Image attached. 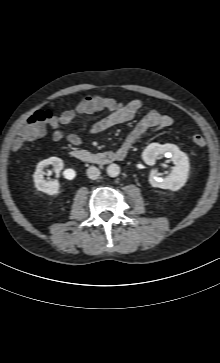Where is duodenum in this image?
<instances>
[{"label": "duodenum", "mask_w": 220, "mask_h": 363, "mask_svg": "<svg viewBox=\"0 0 220 363\" xmlns=\"http://www.w3.org/2000/svg\"><path fill=\"white\" fill-rule=\"evenodd\" d=\"M129 149L120 148L116 151H107L100 153H93L87 150H75L72 152V157L86 163L96 165H108L115 162H120L127 157Z\"/></svg>", "instance_id": "1"}]
</instances>
